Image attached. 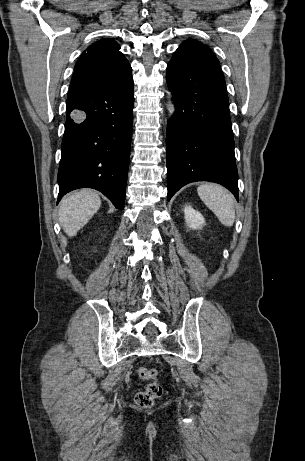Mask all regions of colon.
<instances>
[{
	"label": "colon",
	"mask_w": 305,
	"mask_h": 461,
	"mask_svg": "<svg viewBox=\"0 0 305 461\" xmlns=\"http://www.w3.org/2000/svg\"><path fill=\"white\" fill-rule=\"evenodd\" d=\"M138 375L141 379L148 380L150 382L144 390L139 391L136 394L135 402L141 408H150L163 394V388L157 381L158 372L155 369L140 368Z\"/></svg>",
	"instance_id": "5ec220e1"
}]
</instances>
